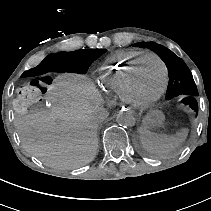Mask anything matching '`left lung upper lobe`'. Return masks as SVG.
Here are the masks:
<instances>
[{
  "label": "left lung upper lobe",
  "instance_id": "obj_1",
  "mask_svg": "<svg viewBox=\"0 0 211 211\" xmlns=\"http://www.w3.org/2000/svg\"><path fill=\"white\" fill-rule=\"evenodd\" d=\"M137 47H147L156 52L168 68L169 84L166 92V99L177 96H184L182 102L189 105L198 113L196 96L198 91L193 76L184 61L175 55L168 48L155 42L136 43Z\"/></svg>",
  "mask_w": 211,
  "mask_h": 211
}]
</instances>
